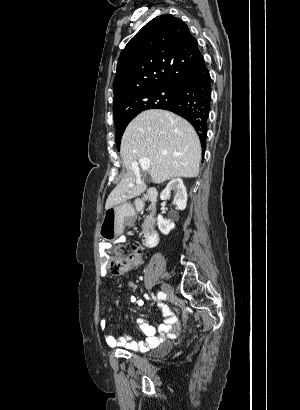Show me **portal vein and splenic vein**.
<instances>
[{"instance_id": "1", "label": "portal vein and splenic vein", "mask_w": 300, "mask_h": 410, "mask_svg": "<svg viewBox=\"0 0 300 410\" xmlns=\"http://www.w3.org/2000/svg\"><path fill=\"white\" fill-rule=\"evenodd\" d=\"M138 165H140V167L143 171H146L149 168L150 160L148 158H141L139 160V162H134L132 164V166H133V169H134L135 173H139V171H140Z\"/></svg>"}]
</instances>
